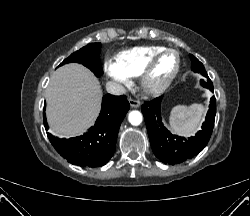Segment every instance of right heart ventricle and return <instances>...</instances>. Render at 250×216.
<instances>
[{
  "label": "right heart ventricle",
  "instance_id": "1",
  "mask_svg": "<svg viewBox=\"0 0 250 216\" xmlns=\"http://www.w3.org/2000/svg\"><path fill=\"white\" fill-rule=\"evenodd\" d=\"M163 49L165 47L159 45L134 47L119 53L116 62L128 76L138 77L149 59Z\"/></svg>",
  "mask_w": 250,
  "mask_h": 216
}]
</instances>
